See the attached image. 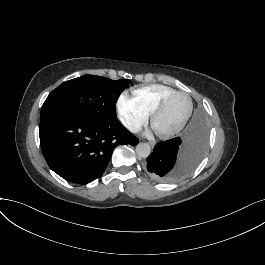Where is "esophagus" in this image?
I'll list each match as a JSON object with an SVG mask.
<instances>
[{"mask_svg":"<svg viewBox=\"0 0 265 265\" xmlns=\"http://www.w3.org/2000/svg\"><path fill=\"white\" fill-rule=\"evenodd\" d=\"M149 144L153 147L155 145L154 142H149Z\"/></svg>","mask_w":265,"mask_h":265,"instance_id":"1","label":"esophagus"}]
</instances>
